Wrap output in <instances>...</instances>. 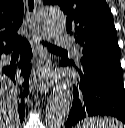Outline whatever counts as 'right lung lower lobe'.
<instances>
[{
  "instance_id": "obj_1",
  "label": "right lung lower lobe",
  "mask_w": 125,
  "mask_h": 128,
  "mask_svg": "<svg viewBox=\"0 0 125 128\" xmlns=\"http://www.w3.org/2000/svg\"><path fill=\"white\" fill-rule=\"evenodd\" d=\"M16 48L22 49L20 62L18 63V65H9L1 68V72L6 74L13 81V83L16 84L15 77L19 74L21 70V75L24 77V83L22 86H18V113L20 121L23 122L25 114L24 98L27 97L29 93V75L31 72L30 60L32 58L31 46L26 40H22L14 47L4 49L2 52H0V56L3 53H10Z\"/></svg>"
}]
</instances>
